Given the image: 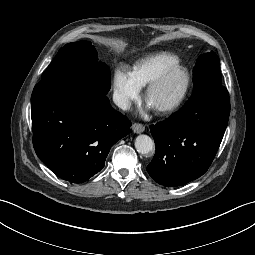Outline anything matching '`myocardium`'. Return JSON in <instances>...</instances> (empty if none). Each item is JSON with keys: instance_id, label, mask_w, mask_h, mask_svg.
Returning <instances> with one entry per match:
<instances>
[{"instance_id": "1", "label": "myocardium", "mask_w": 255, "mask_h": 255, "mask_svg": "<svg viewBox=\"0 0 255 255\" xmlns=\"http://www.w3.org/2000/svg\"><path fill=\"white\" fill-rule=\"evenodd\" d=\"M176 71H181L184 73V76H185L184 86L180 94L175 99H173L172 101H170L169 103L165 105L154 108V110L157 113L165 114L178 109L184 103V101L186 100L188 96V93L191 87V82H192L191 74L189 70L185 66L181 65L179 62L166 68L152 82L148 84L144 93V100L147 102L150 94L154 90H156L172 73Z\"/></svg>"}]
</instances>
